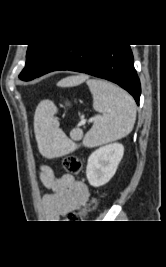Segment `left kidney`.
I'll return each instance as SVG.
<instances>
[{
  "label": "left kidney",
  "instance_id": "5707ae66",
  "mask_svg": "<svg viewBox=\"0 0 166 267\" xmlns=\"http://www.w3.org/2000/svg\"><path fill=\"white\" fill-rule=\"evenodd\" d=\"M124 154L120 143H112L92 152L88 158L86 176L90 185L99 187L114 176Z\"/></svg>",
  "mask_w": 166,
  "mask_h": 267
}]
</instances>
